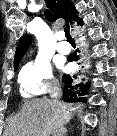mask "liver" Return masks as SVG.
Listing matches in <instances>:
<instances>
[{"label":"liver","mask_w":117,"mask_h":136,"mask_svg":"<svg viewBox=\"0 0 117 136\" xmlns=\"http://www.w3.org/2000/svg\"><path fill=\"white\" fill-rule=\"evenodd\" d=\"M71 106L45 97L25 101L21 110L8 120L4 136H50L69 122Z\"/></svg>","instance_id":"6515ba94"}]
</instances>
